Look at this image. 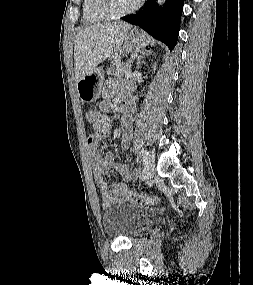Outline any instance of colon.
<instances>
[{"mask_svg":"<svg viewBox=\"0 0 253 285\" xmlns=\"http://www.w3.org/2000/svg\"><path fill=\"white\" fill-rule=\"evenodd\" d=\"M85 115L87 121L93 122L96 118V111L94 109H88ZM126 196L128 201L135 204L157 205L161 203V199L159 197L147 193L129 191Z\"/></svg>","mask_w":253,"mask_h":285,"instance_id":"5ec220e1","label":"colon"}]
</instances>
